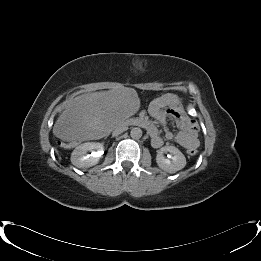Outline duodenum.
Listing matches in <instances>:
<instances>
[{
	"label": "duodenum",
	"mask_w": 261,
	"mask_h": 261,
	"mask_svg": "<svg viewBox=\"0 0 261 261\" xmlns=\"http://www.w3.org/2000/svg\"><path fill=\"white\" fill-rule=\"evenodd\" d=\"M141 123H144V121H143V120H141Z\"/></svg>",
	"instance_id": "duodenum-1"
}]
</instances>
